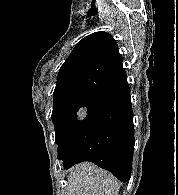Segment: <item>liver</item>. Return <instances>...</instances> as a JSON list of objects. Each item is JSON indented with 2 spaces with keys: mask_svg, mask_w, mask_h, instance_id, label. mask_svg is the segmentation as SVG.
Masks as SVG:
<instances>
[{
  "mask_svg": "<svg viewBox=\"0 0 178 195\" xmlns=\"http://www.w3.org/2000/svg\"><path fill=\"white\" fill-rule=\"evenodd\" d=\"M119 188L112 174L90 162L69 170L67 195H118Z\"/></svg>",
  "mask_w": 178,
  "mask_h": 195,
  "instance_id": "6515ba94",
  "label": "liver"
}]
</instances>
